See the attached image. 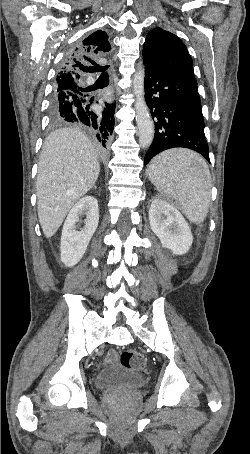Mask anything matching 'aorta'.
Listing matches in <instances>:
<instances>
[{"instance_id":"aorta-1","label":"aorta","mask_w":250,"mask_h":454,"mask_svg":"<svg viewBox=\"0 0 250 454\" xmlns=\"http://www.w3.org/2000/svg\"><path fill=\"white\" fill-rule=\"evenodd\" d=\"M144 78V66L140 64L133 77L132 89L136 98L135 111L139 131V144L142 148H147L151 145L154 138V123L145 102Z\"/></svg>"}]
</instances>
